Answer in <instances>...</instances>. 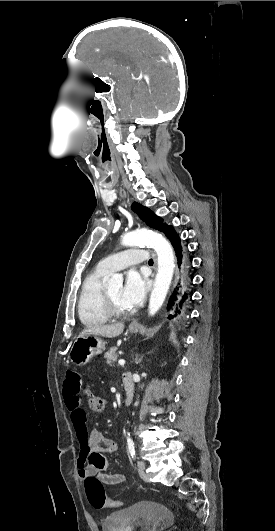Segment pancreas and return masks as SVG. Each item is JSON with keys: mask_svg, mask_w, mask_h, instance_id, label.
I'll return each instance as SVG.
<instances>
[{"mask_svg": "<svg viewBox=\"0 0 275 531\" xmlns=\"http://www.w3.org/2000/svg\"><path fill=\"white\" fill-rule=\"evenodd\" d=\"M117 351H118L117 347H111V349H109V351L105 353L104 359H106V363H108V365H112V363H115V361H117V357H118Z\"/></svg>", "mask_w": 275, "mask_h": 531, "instance_id": "1", "label": "pancreas"}]
</instances>
